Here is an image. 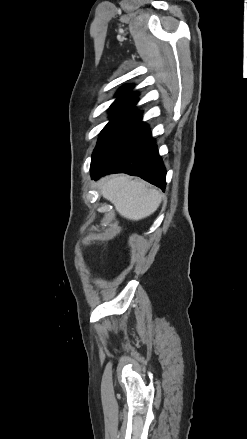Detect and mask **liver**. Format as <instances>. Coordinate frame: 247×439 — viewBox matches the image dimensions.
<instances>
[{"label":"liver","instance_id":"6515ba94","mask_svg":"<svg viewBox=\"0 0 247 439\" xmlns=\"http://www.w3.org/2000/svg\"><path fill=\"white\" fill-rule=\"evenodd\" d=\"M100 193L122 217L134 221L153 214L163 198L159 190L123 174L106 178L100 185Z\"/></svg>","mask_w":247,"mask_h":439}]
</instances>
